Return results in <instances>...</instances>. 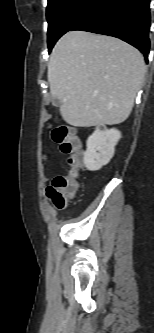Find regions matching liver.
<instances>
[{"instance_id":"1","label":"liver","mask_w":154,"mask_h":333,"mask_svg":"<svg viewBox=\"0 0 154 333\" xmlns=\"http://www.w3.org/2000/svg\"><path fill=\"white\" fill-rule=\"evenodd\" d=\"M142 54L106 35L69 31L48 63L50 93L60 114L75 127L115 125L130 115L144 75Z\"/></svg>"}]
</instances>
